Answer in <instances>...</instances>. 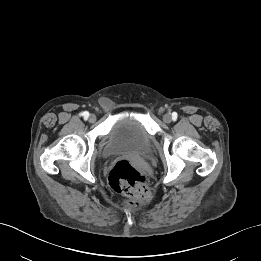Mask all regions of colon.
Listing matches in <instances>:
<instances>
[{
    "instance_id": "1",
    "label": "colon",
    "mask_w": 261,
    "mask_h": 261,
    "mask_svg": "<svg viewBox=\"0 0 261 261\" xmlns=\"http://www.w3.org/2000/svg\"><path fill=\"white\" fill-rule=\"evenodd\" d=\"M111 188L124 195L129 204L139 205L149 198L146 175L128 160H119L108 176Z\"/></svg>"
}]
</instances>
